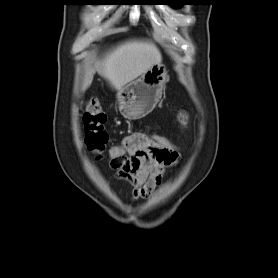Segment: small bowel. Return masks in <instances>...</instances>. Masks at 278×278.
Returning a JSON list of instances; mask_svg holds the SVG:
<instances>
[{
	"label": "small bowel",
	"instance_id": "obj_1",
	"mask_svg": "<svg viewBox=\"0 0 278 278\" xmlns=\"http://www.w3.org/2000/svg\"><path fill=\"white\" fill-rule=\"evenodd\" d=\"M124 154L110 159V168L118 180L133 187V199H145L158 187L167 168L175 165L180 155L162 149L151 136L134 132L122 141Z\"/></svg>",
	"mask_w": 278,
	"mask_h": 278
}]
</instances>
